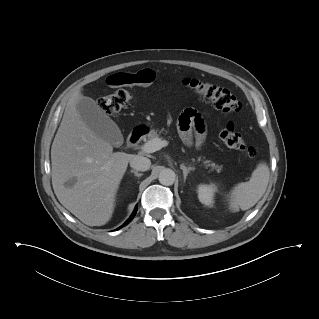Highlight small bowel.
<instances>
[{"instance_id": "small-bowel-1", "label": "small bowel", "mask_w": 319, "mask_h": 319, "mask_svg": "<svg viewBox=\"0 0 319 319\" xmlns=\"http://www.w3.org/2000/svg\"><path fill=\"white\" fill-rule=\"evenodd\" d=\"M133 76L141 80L142 86H149L155 81V73L151 69H144ZM178 128L185 144L201 145L205 137V121L193 109H186L180 116Z\"/></svg>"}]
</instances>
